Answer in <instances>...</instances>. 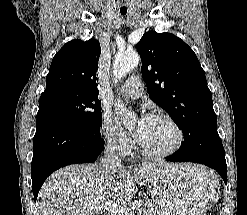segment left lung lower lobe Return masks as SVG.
I'll list each match as a JSON object with an SVG mask.
<instances>
[{
  "mask_svg": "<svg viewBox=\"0 0 247 215\" xmlns=\"http://www.w3.org/2000/svg\"><path fill=\"white\" fill-rule=\"evenodd\" d=\"M192 145H182L179 150L166 158L171 162H194L216 170L227 184L225 152L218 132L193 136Z\"/></svg>",
  "mask_w": 247,
  "mask_h": 215,
  "instance_id": "1",
  "label": "left lung lower lobe"
}]
</instances>
